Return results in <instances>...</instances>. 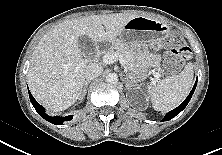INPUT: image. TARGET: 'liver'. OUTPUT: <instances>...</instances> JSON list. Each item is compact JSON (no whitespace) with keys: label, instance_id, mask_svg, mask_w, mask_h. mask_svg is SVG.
I'll return each instance as SVG.
<instances>
[{"label":"liver","instance_id":"liver-1","mask_svg":"<svg viewBox=\"0 0 222 155\" xmlns=\"http://www.w3.org/2000/svg\"><path fill=\"white\" fill-rule=\"evenodd\" d=\"M136 15L113 13L64 21L37 44L28 71V85L36 100L52 111H63L81 96L85 70L92 63L82 57L79 36L94 43L118 42L124 26Z\"/></svg>","mask_w":222,"mask_h":155}]
</instances>
